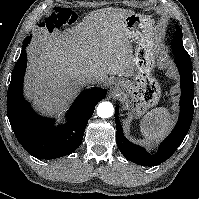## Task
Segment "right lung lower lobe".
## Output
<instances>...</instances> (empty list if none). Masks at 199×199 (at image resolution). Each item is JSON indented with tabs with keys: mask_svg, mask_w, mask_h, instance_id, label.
I'll list each match as a JSON object with an SVG mask.
<instances>
[{
	"mask_svg": "<svg viewBox=\"0 0 199 199\" xmlns=\"http://www.w3.org/2000/svg\"><path fill=\"white\" fill-rule=\"evenodd\" d=\"M22 46L11 77L7 94V115L14 134L23 148L40 159H55L75 151L81 144L84 130L95 106L106 97L107 90L91 88L82 91L67 112V123L54 126V120L39 116L23 97V79L27 66L25 47Z\"/></svg>",
	"mask_w": 199,
	"mask_h": 199,
	"instance_id": "1",
	"label": "right lung lower lobe"
}]
</instances>
